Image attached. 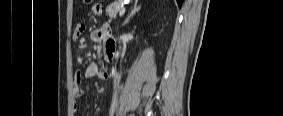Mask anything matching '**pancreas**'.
Instances as JSON below:
<instances>
[{
	"label": "pancreas",
	"mask_w": 283,
	"mask_h": 116,
	"mask_svg": "<svg viewBox=\"0 0 283 116\" xmlns=\"http://www.w3.org/2000/svg\"><path fill=\"white\" fill-rule=\"evenodd\" d=\"M121 1H115L113 4L109 5L106 9V14L110 19H114L117 16L118 11L120 10Z\"/></svg>",
	"instance_id": "cf45deb5"
}]
</instances>
